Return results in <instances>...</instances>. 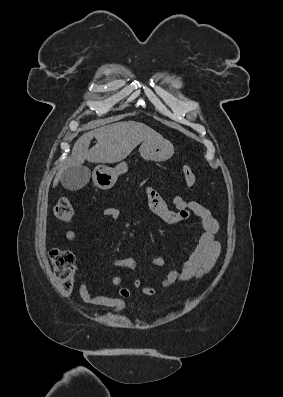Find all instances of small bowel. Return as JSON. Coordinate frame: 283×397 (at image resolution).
Instances as JSON below:
<instances>
[{
  "label": "small bowel",
  "instance_id": "c3829d8e",
  "mask_svg": "<svg viewBox=\"0 0 283 397\" xmlns=\"http://www.w3.org/2000/svg\"><path fill=\"white\" fill-rule=\"evenodd\" d=\"M148 181V178L143 179L140 185L145 187L149 207L162 221L169 225L178 224L188 219L192 213L199 218L202 228L196 248L180 268L169 270L162 283L163 287H169L177 281H188L203 276L213 268L221 250L220 242L217 239L219 230L217 219L203 205L196 201H187L179 195L173 198L175 209L169 208L164 198L148 185ZM101 216L107 220H117L120 217V210L117 207H108L101 212ZM65 237L67 241L73 242L77 239L78 234L75 230H69ZM164 264L165 259L163 257H156L152 260L153 266L160 267ZM111 265L117 268L134 270L137 263L133 257H124L113 260ZM110 282L118 287L119 297L92 295L84 282L79 285V295L87 304L107 307L113 313H120L125 308L124 298L131 296L135 290L141 289L144 294L149 296L156 292L151 286H142L138 279L132 282L131 287L123 286V278L120 276H113Z\"/></svg>",
  "mask_w": 283,
  "mask_h": 397
}]
</instances>
